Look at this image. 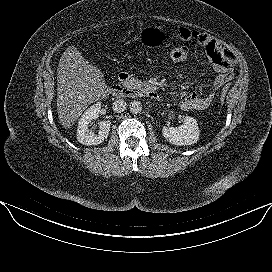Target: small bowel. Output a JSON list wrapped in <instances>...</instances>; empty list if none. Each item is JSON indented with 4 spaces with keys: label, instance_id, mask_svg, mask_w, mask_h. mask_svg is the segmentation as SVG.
Here are the masks:
<instances>
[{
    "label": "small bowel",
    "instance_id": "1",
    "mask_svg": "<svg viewBox=\"0 0 272 272\" xmlns=\"http://www.w3.org/2000/svg\"><path fill=\"white\" fill-rule=\"evenodd\" d=\"M176 35L183 41H195L202 46L214 70L217 72L213 87L209 93L200 95L192 92L184 96L180 101L182 110H205L211 105L215 92L231 80L235 65L234 55L225 44L205 32L181 27L177 30Z\"/></svg>",
    "mask_w": 272,
    "mask_h": 272
}]
</instances>
